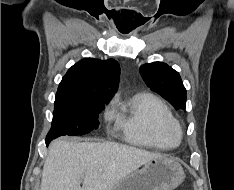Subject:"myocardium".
I'll return each instance as SVG.
<instances>
[{
	"label": "myocardium",
	"instance_id": "obj_1",
	"mask_svg": "<svg viewBox=\"0 0 234 190\" xmlns=\"http://www.w3.org/2000/svg\"><path fill=\"white\" fill-rule=\"evenodd\" d=\"M174 135H175V137H176L178 140L180 139V137H181V130H180V128H178V129L175 131Z\"/></svg>",
	"mask_w": 234,
	"mask_h": 190
}]
</instances>
